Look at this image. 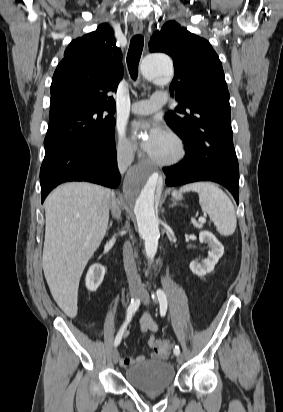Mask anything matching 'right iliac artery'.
Wrapping results in <instances>:
<instances>
[{"instance_id":"1","label":"right iliac artery","mask_w":283,"mask_h":412,"mask_svg":"<svg viewBox=\"0 0 283 412\" xmlns=\"http://www.w3.org/2000/svg\"><path fill=\"white\" fill-rule=\"evenodd\" d=\"M140 306V299L139 298H135L131 300V303L127 309V318L125 323L123 324L122 328L120 329V331L118 332L115 340H114V346L117 347L122 339V335H123V331L124 329L127 327V324L130 322L132 316L135 314V312L137 311V309Z\"/></svg>"}]
</instances>
